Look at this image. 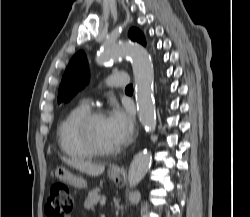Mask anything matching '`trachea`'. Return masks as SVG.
<instances>
[{
    "label": "trachea",
    "mask_w": 250,
    "mask_h": 217,
    "mask_svg": "<svg viewBox=\"0 0 250 217\" xmlns=\"http://www.w3.org/2000/svg\"><path fill=\"white\" fill-rule=\"evenodd\" d=\"M125 90H133V86L132 85H128Z\"/></svg>",
    "instance_id": "3493384b"
}]
</instances>
